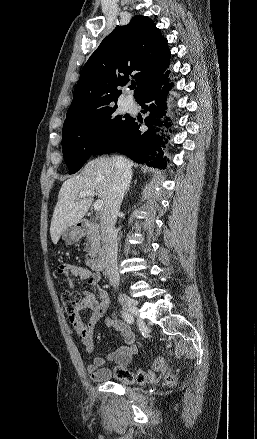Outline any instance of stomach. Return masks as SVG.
I'll return each mask as SVG.
<instances>
[{
  "label": "stomach",
  "instance_id": "0dacf381",
  "mask_svg": "<svg viewBox=\"0 0 257 439\" xmlns=\"http://www.w3.org/2000/svg\"><path fill=\"white\" fill-rule=\"evenodd\" d=\"M80 238V230L76 226L69 227L62 234V239L68 243H74Z\"/></svg>",
  "mask_w": 257,
  "mask_h": 439
}]
</instances>
